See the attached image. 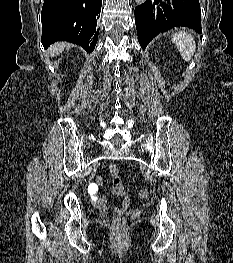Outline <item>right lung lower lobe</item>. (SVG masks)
<instances>
[{
  "label": "right lung lower lobe",
  "mask_w": 233,
  "mask_h": 263,
  "mask_svg": "<svg viewBox=\"0 0 233 263\" xmlns=\"http://www.w3.org/2000/svg\"><path fill=\"white\" fill-rule=\"evenodd\" d=\"M102 0H44L42 7V44L68 41L91 53L96 45V29Z\"/></svg>",
  "instance_id": "obj_1"
}]
</instances>
